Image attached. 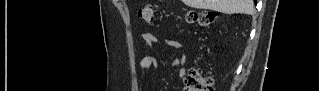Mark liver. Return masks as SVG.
<instances>
[{"mask_svg": "<svg viewBox=\"0 0 319 91\" xmlns=\"http://www.w3.org/2000/svg\"><path fill=\"white\" fill-rule=\"evenodd\" d=\"M192 8L215 10L224 14H253V0H183Z\"/></svg>", "mask_w": 319, "mask_h": 91, "instance_id": "1", "label": "liver"}]
</instances>
